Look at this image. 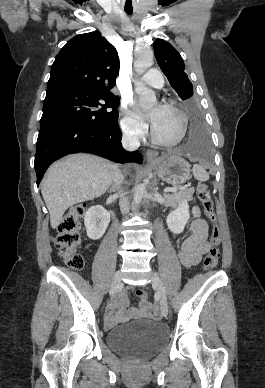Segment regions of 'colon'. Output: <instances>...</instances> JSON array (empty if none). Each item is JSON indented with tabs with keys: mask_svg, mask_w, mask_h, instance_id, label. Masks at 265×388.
<instances>
[{
	"mask_svg": "<svg viewBox=\"0 0 265 388\" xmlns=\"http://www.w3.org/2000/svg\"><path fill=\"white\" fill-rule=\"evenodd\" d=\"M197 195L202 204L205 216L212 225L210 236L211 249L206 253L203 260V267L206 270H211L216 267L219 259L218 246L220 244V232L217 226V217L214 210L213 201L210 194L209 186L199 184L197 187ZM86 212V206L78 204L73 206L65 214L58 225L57 248L58 253L64 262L72 269L79 270L83 268L84 259L79 252L82 238L80 234L81 221ZM137 297L148 303L149 295L144 290L136 291Z\"/></svg>",
	"mask_w": 265,
	"mask_h": 388,
	"instance_id": "obj_1",
	"label": "colon"
}]
</instances>
